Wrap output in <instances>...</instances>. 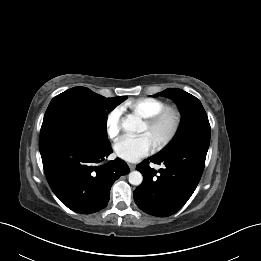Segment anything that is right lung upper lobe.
Masks as SVG:
<instances>
[{"instance_id": "right-lung-upper-lobe-1", "label": "right lung upper lobe", "mask_w": 261, "mask_h": 261, "mask_svg": "<svg viewBox=\"0 0 261 261\" xmlns=\"http://www.w3.org/2000/svg\"><path fill=\"white\" fill-rule=\"evenodd\" d=\"M77 88L80 87L71 88L59 94L58 96L54 97L48 106V110L59 105H64L69 110L68 116L66 117V120L64 121L62 126L54 129L68 128L74 133L88 134L85 130L84 123L81 120L80 116L73 113V110L75 109V105H76V101L74 99V92ZM124 97L126 96H122L118 98H124ZM42 132H46V131H42Z\"/></svg>"}]
</instances>
